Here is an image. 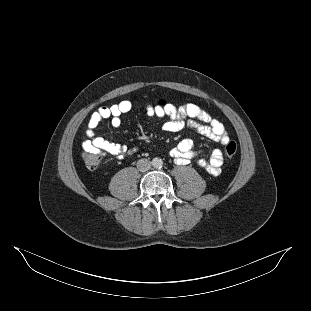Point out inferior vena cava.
Returning a JSON list of instances; mask_svg holds the SVG:
<instances>
[{
  "mask_svg": "<svg viewBox=\"0 0 311 311\" xmlns=\"http://www.w3.org/2000/svg\"><path fill=\"white\" fill-rule=\"evenodd\" d=\"M151 168V162L147 159H140L137 162V169L141 172L148 171Z\"/></svg>",
  "mask_w": 311,
  "mask_h": 311,
  "instance_id": "1",
  "label": "inferior vena cava"
}]
</instances>
